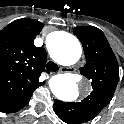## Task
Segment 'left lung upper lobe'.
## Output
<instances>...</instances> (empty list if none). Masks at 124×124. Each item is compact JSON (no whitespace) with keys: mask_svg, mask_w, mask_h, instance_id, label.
Returning <instances> with one entry per match:
<instances>
[{"mask_svg":"<svg viewBox=\"0 0 124 124\" xmlns=\"http://www.w3.org/2000/svg\"><path fill=\"white\" fill-rule=\"evenodd\" d=\"M86 65L81 74L91 81L92 92L80 102L55 100L58 117L67 124H82L95 118L111 101L119 80L118 62L104 33L93 26L76 27Z\"/></svg>","mask_w":124,"mask_h":124,"instance_id":"left-lung-upper-lobe-1","label":"left lung upper lobe"}]
</instances>
